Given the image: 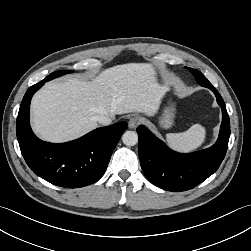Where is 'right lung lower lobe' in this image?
<instances>
[{"label": "right lung lower lobe", "mask_w": 251, "mask_h": 251, "mask_svg": "<svg viewBox=\"0 0 251 251\" xmlns=\"http://www.w3.org/2000/svg\"><path fill=\"white\" fill-rule=\"evenodd\" d=\"M45 79L25 93L16 123L21 153L30 169L61 187L78 188L98 181L104 174L114 148L128 127L119 122L93 130L71 142L54 144L37 138L29 124L30 101Z\"/></svg>", "instance_id": "98d812e1"}]
</instances>
